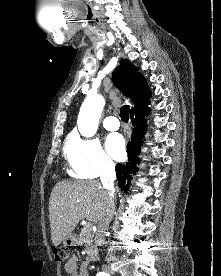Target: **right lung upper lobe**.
Listing matches in <instances>:
<instances>
[{
    "label": "right lung upper lobe",
    "mask_w": 221,
    "mask_h": 276,
    "mask_svg": "<svg viewBox=\"0 0 221 276\" xmlns=\"http://www.w3.org/2000/svg\"><path fill=\"white\" fill-rule=\"evenodd\" d=\"M113 82L133 102L130 113L145 108L150 103L151 92L143 76L128 60L122 59L112 76Z\"/></svg>",
    "instance_id": "right-lung-upper-lobe-1"
}]
</instances>
